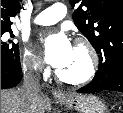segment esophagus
Instances as JSON below:
<instances>
[{"mask_svg":"<svg viewBox=\"0 0 123 113\" xmlns=\"http://www.w3.org/2000/svg\"><path fill=\"white\" fill-rule=\"evenodd\" d=\"M52 94L55 95V96H61V95H63V93L61 91L56 90V89H53L52 90Z\"/></svg>","mask_w":123,"mask_h":113,"instance_id":"34e87169","label":"esophagus"}]
</instances>
